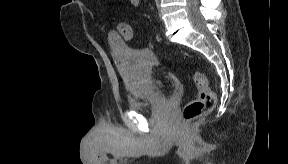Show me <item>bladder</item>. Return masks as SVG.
I'll return each instance as SVG.
<instances>
[{
    "mask_svg": "<svg viewBox=\"0 0 288 164\" xmlns=\"http://www.w3.org/2000/svg\"><path fill=\"white\" fill-rule=\"evenodd\" d=\"M114 60L128 84L129 109L148 113L167 103V97L149 75V68L156 64L148 52L129 47L119 37L109 39Z\"/></svg>",
    "mask_w": 288,
    "mask_h": 164,
    "instance_id": "obj_1",
    "label": "bladder"
}]
</instances>
